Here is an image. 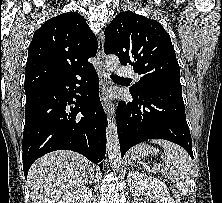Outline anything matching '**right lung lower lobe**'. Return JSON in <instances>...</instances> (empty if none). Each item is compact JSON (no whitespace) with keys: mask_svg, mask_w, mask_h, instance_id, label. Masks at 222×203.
<instances>
[{"mask_svg":"<svg viewBox=\"0 0 222 203\" xmlns=\"http://www.w3.org/2000/svg\"><path fill=\"white\" fill-rule=\"evenodd\" d=\"M25 93L22 144L25 178L36 159L55 150L78 152L93 163H100L102 169L107 118L94 68L78 76L52 80Z\"/></svg>","mask_w":222,"mask_h":203,"instance_id":"obj_1","label":"right lung lower lobe"}]
</instances>
